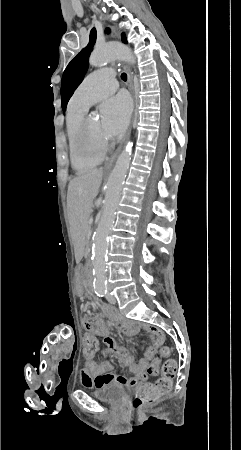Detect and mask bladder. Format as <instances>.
I'll list each match as a JSON object with an SVG mask.
<instances>
[{"label":"bladder","mask_w":241,"mask_h":450,"mask_svg":"<svg viewBox=\"0 0 241 450\" xmlns=\"http://www.w3.org/2000/svg\"><path fill=\"white\" fill-rule=\"evenodd\" d=\"M93 395L102 401L119 402L125 397V389L121 385L107 384L101 388L96 389Z\"/></svg>","instance_id":"bladder-1"}]
</instances>
